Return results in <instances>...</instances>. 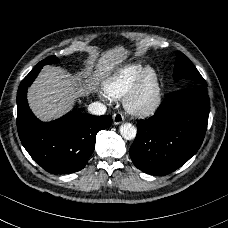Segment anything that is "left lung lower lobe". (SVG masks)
Here are the masks:
<instances>
[{
	"mask_svg": "<svg viewBox=\"0 0 228 228\" xmlns=\"http://www.w3.org/2000/svg\"><path fill=\"white\" fill-rule=\"evenodd\" d=\"M209 110L204 87L171 93L151 118L138 121L137 136L129 150L134 165L158 176L181 167L203 142Z\"/></svg>",
	"mask_w": 228,
	"mask_h": 228,
	"instance_id": "left-lung-lower-lobe-1",
	"label": "left lung lower lobe"
}]
</instances>
